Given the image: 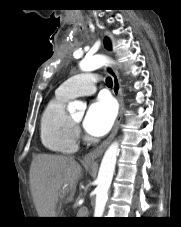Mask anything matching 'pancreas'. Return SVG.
Segmentation results:
<instances>
[{"label": "pancreas", "mask_w": 181, "mask_h": 227, "mask_svg": "<svg viewBox=\"0 0 181 227\" xmlns=\"http://www.w3.org/2000/svg\"><path fill=\"white\" fill-rule=\"evenodd\" d=\"M86 212H87V209L84 208V207H81L79 210H78V213H77V217H86Z\"/></svg>", "instance_id": "cf45deb5"}]
</instances>
